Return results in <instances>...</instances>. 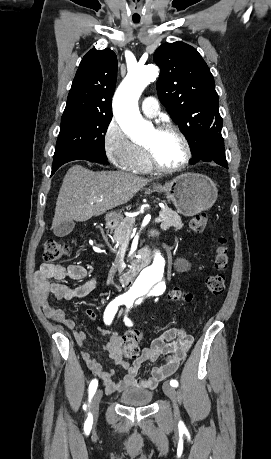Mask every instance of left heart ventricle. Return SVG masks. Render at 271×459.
Wrapping results in <instances>:
<instances>
[{
	"mask_svg": "<svg viewBox=\"0 0 271 459\" xmlns=\"http://www.w3.org/2000/svg\"><path fill=\"white\" fill-rule=\"evenodd\" d=\"M145 144L153 148L158 157L166 163H176L185 154L180 137L173 132L160 133L154 128L148 134Z\"/></svg>",
	"mask_w": 271,
	"mask_h": 459,
	"instance_id": "left-heart-ventricle-1",
	"label": "left heart ventricle"
}]
</instances>
